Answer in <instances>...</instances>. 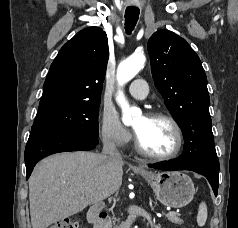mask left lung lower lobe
I'll return each mask as SVG.
<instances>
[{
	"label": "left lung lower lobe",
	"instance_id": "obj_1",
	"mask_svg": "<svg viewBox=\"0 0 238 228\" xmlns=\"http://www.w3.org/2000/svg\"><path fill=\"white\" fill-rule=\"evenodd\" d=\"M149 167L167 171L190 170L202 174L208 179L214 194L217 195L219 161H200L190 164H182L178 159H174L168 162L150 165Z\"/></svg>",
	"mask_w": 238,
	"mask_h": 228
}]
</instances>
